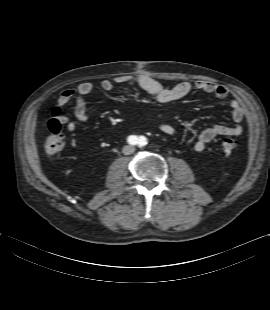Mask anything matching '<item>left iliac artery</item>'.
<instances>
[{
    "mask_svg": "<svg viewBox=\"0 0 270 310\" xmlns=\"http://www.w3.org/2000/svg\"><path fill=\"white\" fill-rule=\"evenodd\" d=\"M140 145H144L146 144V139L142 136L139 138V142H138Z\"/></svg>",
    "mask_w": 270,
    "mask_h": 310,
    "instance_id": "44dca946",
    "label": "left iliac artery"
}]
</instances>
